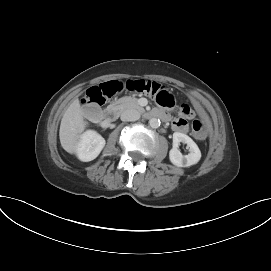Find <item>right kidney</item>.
<instances>
[{"label": "right kidney", "mask_w": 271, "mask_h": 271, "mask_svg": "<svg viewBox=\"0 0 271 271\" xmlns=\"http://www.w3.org/2000/svg\"><path fill=\"white\" fill-rule=\"evenodd\" d=\"M105 146V139L97 132H84L78 142L77 156L83 162L94 160Z\"/></svg>", "instance_id": "1"}]
</instances>
